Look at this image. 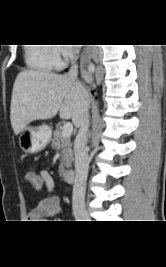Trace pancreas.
Instances as JSON below:
<instances>
[{"label": "pancreas", "instance_id": "obj_1", "mask_svg": "<svg viewBox=\"0 0 166 267\" xmlns=\"http://www.w3.org/2000/svg\"><path fill=\"white\" fill-rule=\"evenodd\" d=\"M51 146L53 149L61 151V164L59 167V173L60 176H64L66 173V168H71L73 162L71 140L69 137H63L62 130L58 128L53 132Z\"/></svg>", "mask_w": 166, "mask_h": 267}]
</instances>
